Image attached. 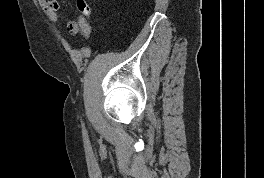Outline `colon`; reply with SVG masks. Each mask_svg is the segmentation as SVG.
Returning <instances> with one entry per match:
<instances>
[{"instance_id":"1","label":"colon","mask_w":264,"mask_h":178,"mask_svg":"<svg viewBox=\"0 0 264 178\" xmlns=\"http://www.w3.org/2000/svg\"><path fill=\"white\" fill-rule=\"evenodd\" d=\"M77 8L80 16H82L85 20V24L81 28L80 32L84 37H88V35L90 34L89 19L91 17V6L88 0H77Z\"/></svg>"}]
</instances>
